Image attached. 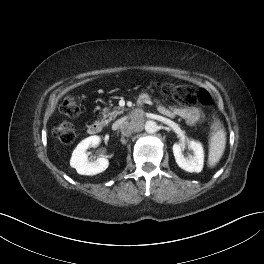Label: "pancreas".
Returning a JSON list of instances; mask_svg holds the SVG:
<instances>
[{"mask_svg": "<svg viewBox=\"0 0 264 264\" xmlns=\"http://www.w3.org/2000/svg\"><path fill=\"white\" fill-rule=\"evenodd\" d=\"M124 112L123 108L116 107L112 112L108 108H104L102 112V122L104 125H107L111 120L116 118L118 115Z\"/></svg>", "mask_w": 264, "mask_h": 264, "instance_id": "cf45deb5", "label": "pancreas"}]
</instances>
